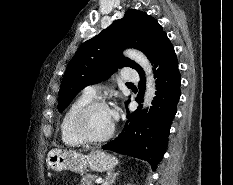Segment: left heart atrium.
I'll return each mask as SVG.
<instances>
[{"instance_id":"39dd6f15","label":"left heart atrium","mask_w":233,"mask_h":185,"mask_svg":"<svg viewBox=\"0 0 233 185\" xmlns=\"http://www.w3.org/2000/svg\"><path fill=\"white\" fill-rule=\"evenodd\" d=\"M109 112H110V116H111L112 120L114 121L118 116L117 111L116 110H109Z\"/></svg>"}]
</instances>
